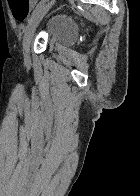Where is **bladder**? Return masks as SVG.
Wrapping results in <instances>:
<instances>
[{
  "instance_id": "bladder-1",
  "label": "bladder",
  "mask_w": 140,
  "mask_h": 196,
  "mask_svg": "<svg viewBox=\"0 0 140 196\" xmlns=\"http://www.w3.org/2000/svg\"><path fill=\"white\" fill-rule=\"evenodd\" d=\"M77 23L67 13L51 16L46 24V32L50 41L60 47H71L77 42Z\"/></svg>"
}]
</instances>
